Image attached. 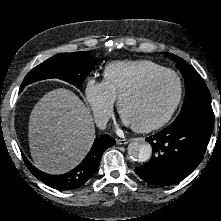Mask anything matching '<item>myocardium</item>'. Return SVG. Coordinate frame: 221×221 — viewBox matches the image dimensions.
<instances>
[{"label": "myocardium", "instance_id": "obj_1", "mask_svg": "<svg viewBox=\"0 0 221 221\" xmlns=\"http://www.w3.org/2000/svg\"><path fill=\"white\" fill-rule=\"evenodd\" d=\"M163 75H171L175 78L177 82V88H178L176 99L173 105L171 106L170 110L167 112V114L159 121L149 124V125H143V126L132 125L131 126L132 129L136 132L147 133V132L158 130L164 127L173 118V116L175 115L177 109L179 108L181 104L182 97H183V82H182L181 77L179 76L177 72L171 69L164 68L161 70H157L144 76L134 85L129 87L127 90H125L118 98L117 108H118L119 114L122 115V107L126 99H128L129 97L143 90L153 79L163 76Z\"/></svg>", "mask_w": 221, "mask_h": 221}]
</instances>
